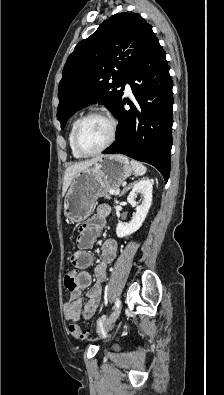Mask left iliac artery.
<instances>
[{"label":"left iliac artery","instance_id":"left-iliac-artery-1","mask_svg":"<svg viewBox=\"0 0 224 395\" xmlns=\"http://www.w3.org/2000/svg\"><path fill=\"white\" fill-rule=\"evenodd\" d=\"M120 300L119 299H116V301H115V306H119L120 305Z\"/></svg>","mask_w":224,"mask_h":395}]
</instances>
